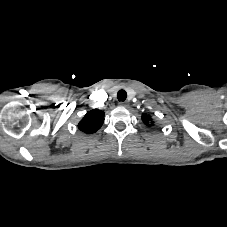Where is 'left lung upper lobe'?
<instances>
[{
    "mask_svg": "<svg viewBox=\"0 0 227 227\" xmlns=\"http://www.w3.org/2000/svg\"><path fill=\"white\" fill-rule=\"evenodd\" d=\"M142 120H143V122H144L146 125H148V124L150 123L151 117H150L149 115H147V114H143V115H142Z\"/></svg>",
    "mask_w": 227,
    "mask_h": 227,
    "instance_id": "5c2ea615",
    "label": "left lung upper lobe"
}]
</instances>
